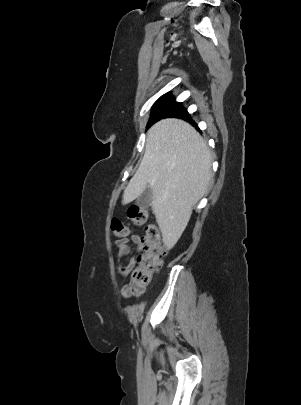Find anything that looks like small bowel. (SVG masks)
Wrapping results in <instances>:
<instances>
[{"mask_svg": "<svg viewBox=\"0 0 301 405\" xmlns=\"http://www.w3.org/2000/svg\"><path fill=\"white\" fill-rule=\"evenodd\" d=\"M131 243L137 245L139 250L141 249V245H142L141 238H140V236L135 235V234H132L129 237H122L119 240H117V242H116L117 258L119 260L118 268H119V272L124 276H127L135 265V258H132L128 264H124L122 262V260L126 256H128L131 252V246H130ZM122 294L124 296L129 295V290H128L127 286H124L122 288Z\"/></svg>", "mask_w": 301, "mask_h": 405, "instance_id": "obj_1", "label": "small bowel"}]
</instances>
